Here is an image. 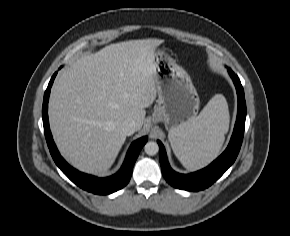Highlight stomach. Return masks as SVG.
<instances>
[{"label":"stomach","mask_w":290,"mask_h":236,"mask_svg":"<svg viewBox=\"0 0 290 236\" xmlns=\"http://www.w3.org/2000/svg\"><path fill=\"white\" fill-rule=\"evenodd\" d=\"M154 63L158 100L152 121L171 132L196 117L200 100L188 73L170 56L157 51Z\"/></svg>","instance_id":"obj_1"}]
</instances>
